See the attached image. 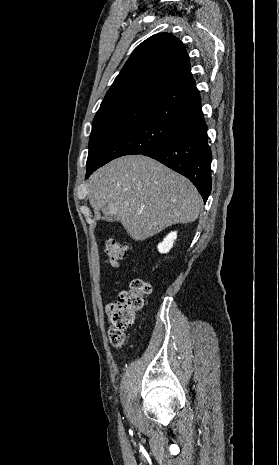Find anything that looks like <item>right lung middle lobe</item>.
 Instances as JSON below:
<instances>
[{"label": "right lung middle lobe", "instance_id": "dd1d6c3e", "mask_svg": "<svg viewBox=\"0 0 279 465\" xmlns=\"http://www.w3.org/2000/svg\"><path fill=\"white\" fill-rule=\"evenodd\" d=\"M177 123L159 120H128L92 128L87 171L124 155L142 154L166 140Z\"/></svg>", "mask_w": 279, "mask_h": 465}]
</instances>
